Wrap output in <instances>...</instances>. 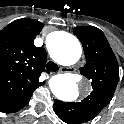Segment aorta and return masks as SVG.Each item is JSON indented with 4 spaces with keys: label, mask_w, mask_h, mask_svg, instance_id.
Listing matches in <instances>:
<instances>
[{
    "label": "aorta",
    "mask_w": 124,
    "mask_h": 124,
    "mask_svg": "<svg viewBox=\"0 0 124 124\" xmlns=\"http://www.w3.org/2000/svg\"><path fill=\"white\" fill-rule=\"evenodd\" d=\"M51 57L62 65L76 63L82 54L78 39L70 33L59 32L50 45ZM79 78L75 74L65 73L53 76L49 87L54 96L62 101H74L79 96Z\"/></svg>",
    "instance_id": "obj_1"
}]
</instances>
